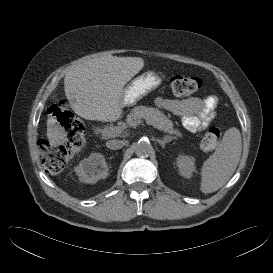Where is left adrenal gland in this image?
<instances>
[{
    "mask_svg": "<svg viewBox=\"0 0 273 273\" xmlns=\"http://www.w3.org/2000/svg\"><path fill=\"white\" fill-rule=\"evenodd\" d=\"M172 139H174L173 137L170 136H165L163 139H156L157 142L162 146V148H165V144L170 142Z\"/></svg>",
    "mask_w": 273,
    "mask_h": 273,
    "instance_id": "obj_1",
    "label": "left adrenal gland"
}]
</instances>
